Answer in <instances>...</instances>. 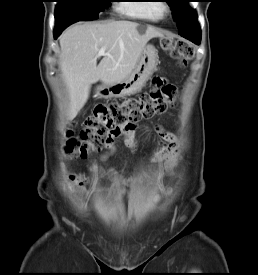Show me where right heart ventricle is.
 Wrapping results in <instances>:
<instances>
[{
	"instance_id": "right-heart-ventricle-1",
	"label": "right heart ventricle",
	"mask_w": 258,
	"mask_h": 275,
	"mask_svg": "<svg viewBox=\"0 0 258 275\" xmlns=\"http://www.w3.org/2000/svg\"><path fill=\"white\" fill-rule=\"evenodd\" d=\"M119 9L127 15L158 22L163 18V5L155 0L131 1L119 5Z\"/></svg>"
}]
</instances>
